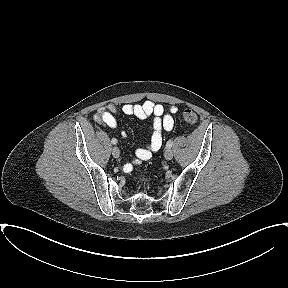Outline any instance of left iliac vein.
<instances>
[{"label": "left iliac vein", "mask_w": 288, "mask_h": 288, "mask_svg": "<svg viewBox=\"0 0 288 288\" xmlns=\"http://www.w3.org/2000/svg\"><path fill=\"white\" fill-rule=\"evenodd\" d=\"M165 158L166 160H171L173 158V152L170 148L165 151Z\"/></svg>", "instance_id": "1"}]
</instances>
